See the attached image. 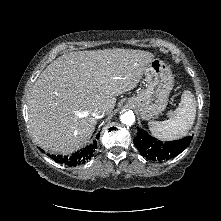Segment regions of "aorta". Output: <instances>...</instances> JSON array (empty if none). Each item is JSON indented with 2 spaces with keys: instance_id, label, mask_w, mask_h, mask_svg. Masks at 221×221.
Wrapping results in <instances>:
<instances>
[{
  "instance_id": "aorta-1",
  "label": "aorta",
  "mask_w": 221,
  "mask_h": 221,
  "mask_svg": "<svg viewBox=\"0 0 221 221\" xmlns=\"http://www.w3.org/2000/svg\"><path fill=\"white\" fill-rule=\"evenodd\" d=\"M120 118H121V122L127 126H131L135 122V115L131 110L122 114Z\"/></svg>"
}]
</instances>
